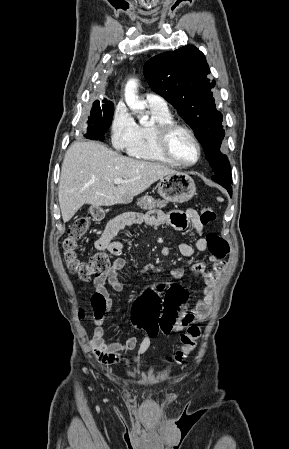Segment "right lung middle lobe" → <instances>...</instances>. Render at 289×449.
Returning a JSON list of instances; mask_svg holds the SVG:
<instances>
[{"label": "right lung middle lobe", "instance_id": "dd1d6c3e", "mask_svg": "<svg viewBox=\"0 0 289 449\" xmlns=\"http://www.w3.org/2000/svg\"><path fill=\"white\" fill-rule=\"evenodd\" d=\"M114 113V105L110 101H99L93 103L90 117L88 119L87 133L84 135L91 140L104 141V135L109 129Z\"/></svg>", "mask_w": 289, "mask_h": 449}]
</instances>
